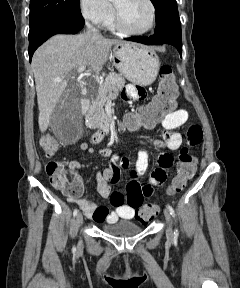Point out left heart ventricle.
I'll return each instance as SVG.
<instances>
[{
  "mask_svg": "<svg viewBox=\"0 0 240 288\" xmlns=\"http://www.w3.org/2000/svg\"><path fill=\"white\" fill-rule=\"evenodd\" d=\"M126 25L134 31L147 29L151 24V8L146 0H114Z\"/></svg>",
  "mask_w": 240,
  "mask_h": 288,
  "instance_id": "1",
  "label": "left heart ventricle"
}]
</instances>
